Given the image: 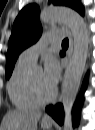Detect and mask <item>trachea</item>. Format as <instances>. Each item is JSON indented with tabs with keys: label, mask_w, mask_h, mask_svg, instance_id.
Instances as JSON below:
<instances>
[{
	"label": "trachea",
	"mask_w": 95,
	"mask_h": 130,
	"mask_svg": "<svg viewBox=\"0 0 95 130\" xmlns=\"http://www.w3.org/2000/svg\"><path fill=\"white\" fill-rule=\"evenodd\" d=\"M68 45H69V40L66 38V39H64L63 42H62V46H63V47H68Z\"/></svg>",
	"instance_id": "obj_1"
}]
</instances>
